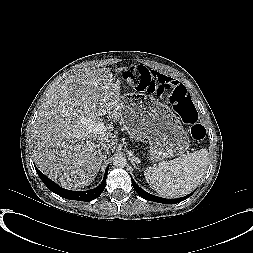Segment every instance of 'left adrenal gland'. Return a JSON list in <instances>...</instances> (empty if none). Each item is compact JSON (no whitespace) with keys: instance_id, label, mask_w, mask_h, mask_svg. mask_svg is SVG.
Returning <instances> with one entry per match:
<instances>
[{"instance_id":"left-adrenal-gland-1","label":"left adrenal gland","mask_w":253,"mask_h":253,"mask_svg":"<svg viewBox=\"0 0 253 253\" xmlns=\"http://www.w3.org/2000/svg\"><path fill=\"white\" fill-rule=\"evenodd\" d=\"M133 162H134V161H133ZM134 165H135V163H134ZM135 168H136V169H139V167H138V166H136V165H135Z\"/></svg>"}]
</instances>
